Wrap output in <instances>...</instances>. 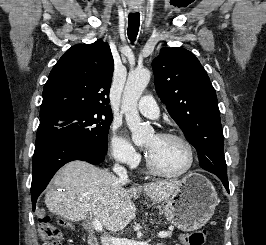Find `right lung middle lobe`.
Listing matches in <instances>:
<instances>
[{
  "label": "right lung middle lobe",
  "mask_w": 266,
  "mask_h": 245,
  "mask_svg": "<svg viewBox=\"0 0 266 245\" xmlns=\"http://www.w3.org/2000/svg\"><path fill=\"white\" fill-rule=\"evenodd\" d=\"M111 122L112 112L102 108L63 111L48 119L40 120L36 144L56 137H67L107 154Z\"/></svg>",
  "instance_id": "1"
}]
</instances>
